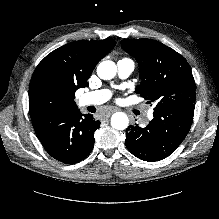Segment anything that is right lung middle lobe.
Returning <instances> with one entry per match:
<instances>
[{
    "instance_id": "1",
    "label": "right lung middle lobe",
    "mask_w": 219,
    "mask_h": 219,
    "mask_svg": "<svg viewBox=\"0 0 219 219\" xmlns=\"http://www.w3.org/2000/svg\"><path fill=\"white\" fill-rule=\"evenodd\" d=\"M65 110L62 109L60 106L56 105V104H53V103H48L47 104V110L45 112H42V113H36V114H58V113H64ZM34 115V114H32ZM31 115V116H32Z\"/></svg>"
}]
</instances>
